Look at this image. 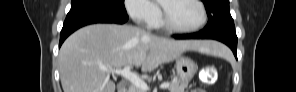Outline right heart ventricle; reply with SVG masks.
Masks as SVG:
<instances>
[{"label": "right heart ventricle", "mask_w": 296, "mask_h": 92, "mask_svg": "<svg viewBox=\"0 0 296 92\" xmlns=\"http://www.w3.org/2000/svg\"><path fill=\"white\" fill-rule=\"evenodd\" d=\"M153 27L155 28H161L163 26L162 21L158 18L153 24Z\"/></svg>", "instance_id": "right-heart-ventricle-1"}]
</instances>
